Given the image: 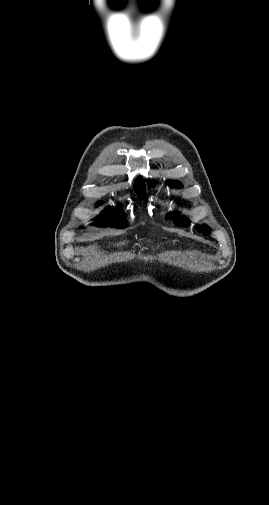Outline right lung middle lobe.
<instances>
[{
    "instance_id": "obj_1",
    "label": "right lung middle lobe",
    "mask_w": 269,
    "mask_h": 505,
    "mask_svg": "<svg viewBox=\"0 0 269 505\" xmlns=\"http://www.w3.org/2000/svg\"><path fill=\"white\" fill-rule=\"evenodd\" d=\"M121 209L109 207L106 208L102 214L95 219V223L102 222L99 224L101 227H112V228H124L128 226L126 219L120 216L118 213Z\"/></svg>"
}]
</instances>
